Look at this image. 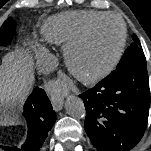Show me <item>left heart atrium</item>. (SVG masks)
<instances>
[{
  "label": "left heart atrium",
  "mask_w": 151,
  "mask_h": 151,
  "mask_svg": "<svg viewBox=\"0 0 151 151\" xmlns=\"http://www.w3.org/2000/svg\"><path fill=\"white\" fill-rule=\"evenodd\" d=\"M53 87L56 88V89H58V90H60L62 88V86H60L58 84H54Z\"/></svg>",
  "instance_id": "39dd6f15"
}]
</instances>
